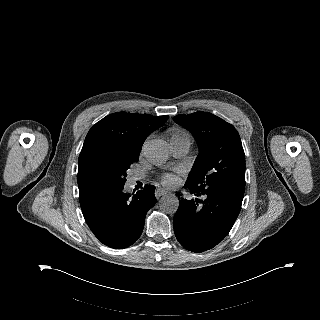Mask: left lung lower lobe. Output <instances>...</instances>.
Wrapping results in <instances>:
<instances>
[{
    "label": "left lung lower lobe",
    "instance_id": "0a47b994",
    "mask_svg": "<svg viewBox=\"0 0 320 320\" xmlns=\"http://www.w3.org/2000/svg\"><path fill=\"white\" fill-rule=\"evenodd\" d=\"M204 200L181 198L173 219L175 235L187 250L203 252L215 247L230 232L241 209L244 193L229 188L197 193Z\"/></svg>",
    "mask_w": 320,
    "mask_h": 320
}]
</instances>
